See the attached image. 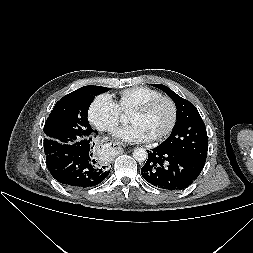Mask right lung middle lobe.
I'll return each mask as SVG.
<instances>
[{
    "label": "right lung middle lobe",
    "instance_id": "dd1d6c3e",
    "mask_svg": "<svg viewBox=\"0 0 253 253\" xmlns=\"http://www.w3.org/2000/svg\"><path fill=\"white\" fill-rule=\"evenodd\" d=\"M110 88L84 86L65 95L51 111L44 126V151L61 144H72L93 136L87 114L94 97Z\"/></svg>",
    "mask_w": 253,
    "mask_h": 253
}]
</instances>
